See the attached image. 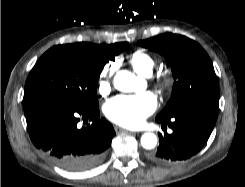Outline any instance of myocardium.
Segmentation results:
<instances>
[{
  "label": "myocardium",
  "instance_id": "f54148a6",
  "mask_svg": "<svg viewBox=\"0 0 245 187\" xmlns=\"http://www.w3.org/2000/svg\"><path fill=\"white\" fill-rule=\"evenodd\" d=\"M155 83L162 93H168L173 89L174 78L169 73H162L155 77Z\"/></svg>",
  "mask_w": 245,
  "mask_h": 187
}]
</instances>
